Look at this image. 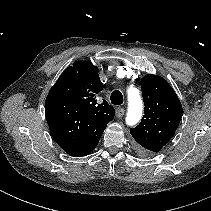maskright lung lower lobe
<instances>
[{"mask_svg":"<svg viewBox=\"0 0 211 211\" xmlns=\"http://www.w3.org/2000/svg\"><path fill=\"white\" fill-rule=\"evenodd\" d=\"M77 109V104L71 98L49 94L46 98V119L52 136L55 139L57 132L74 135V138H78L77 142L59 143L58 145L69 155L82 157L95 149L105 128L77 133L75 130V124L78 122Z\"/></svg>","mask_w":211,"mask_h":211,"instance_id":"right-lung-lower-lobe-1","label":"right lung lower lobe"}]
</instances>
